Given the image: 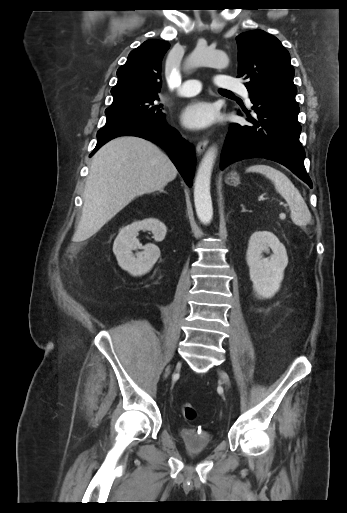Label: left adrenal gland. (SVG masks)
I'll use <instances>...</instances> for the list:
<instances>
[{
    "label": "left adrenal gland",
    "instance_id": "a2214340",
    "mask_svg": "<svg viewBox=\"0 0 347 513\" xmlns=\"http://www.w3.org/2000/svg\"><path fill=\"white\" fill-rule=\"evenodd\" d=\"M241 208H242V211L241 212H246L247 210L245 209V206L243 204H241Z\"/></svg>",
    "mask_w": 347,
    "mask_h": 513
}]
</instances>
